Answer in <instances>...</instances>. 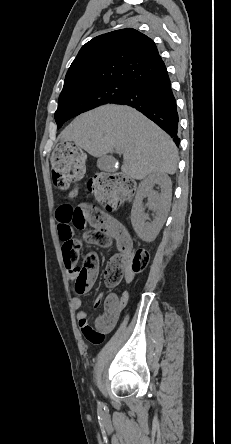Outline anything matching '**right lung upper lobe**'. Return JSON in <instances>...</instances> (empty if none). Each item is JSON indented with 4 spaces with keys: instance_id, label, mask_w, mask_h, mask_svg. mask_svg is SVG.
Here are the masks:
<instances>
[{
    "instance_id": "1",
    "label": "right lung upper lobe",
    "mask_w": 231,
    "mask_h": 444,
    "mask_svg": "<svg viewBox=\"0 0 231 444\" xmlns=\"http://www.w3.org/2000/svg\"><path fill=\"white\" fill-rule=\"evenodd\" d=\"M165 71L153 40L125 28L97 36L82 46L66 74L62 92L108 83L133 86Z\"/></svg>"
}]
</instances>
